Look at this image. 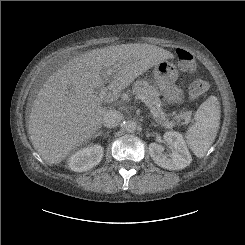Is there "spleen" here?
Returning a JSON list of instances; mask_svg holds the SVG:
<instances>
[{
  "label": "spleen",
  "mask_w": 245,
  "mask_h": 245,
  "mask_svg": "<svg viewBox=\"0 0 245 245\" xmlns=\"http://www.w3.org/2000/svg\"><path fill=\"white\" fill-rule=\"evenodd\" d=\"M220 124V103L215 96L204 101L194 115V124L185 134L189 148L197 157L205 156L213 144Z\"/></svg>",
  "instance_id": "spleen-1"
}]
</instances>
